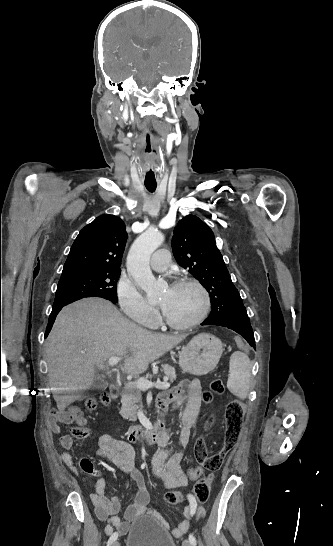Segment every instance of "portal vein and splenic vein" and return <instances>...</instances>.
Wrapping results in <instances>:
<instances>
[{
	"mask_svg": "<svg viewBox=\"0 0 333 546\" xmlns=\"http://www.w3.org/2000/svg\"><path fill=\"white\" fill-rule=\"evenodd\" d=\"M82 353L84 352L82 351ZM119 361H120V358L118 356H112L108 359V364L109 366L113 367L116 364H118ZM136 386L140 388L141 390H147L152 387H156L159 389H168L170 387V384L167 381L161 382L158 380L156 382H151L141 378L136 381Z\"/></svg>",
	"mask_w": 333,
	"mask_h": 546,
	"instance_id": "obj_1",
	"label": "portal vein and splenic vein"
}]
</instances>
